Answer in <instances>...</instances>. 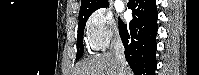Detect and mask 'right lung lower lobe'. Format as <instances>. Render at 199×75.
Segmentation results:
<instances>
[{"instance_id":"obj_1","label":"right lung lower lobe","mask_w":199,"mask_h":75,"mask_svg":"<svg viewBox=\"0 0 199 75\" xmlns=\"http://www.w3.org/2000/svg\"><path fill=\"white\" fill-rule=\"evenodd\" d=\"M133 11L129 24L119 20V34L125 47V57L135 75H155L157 8L155 0H129Z\"/></svg>"}]
</instances>
